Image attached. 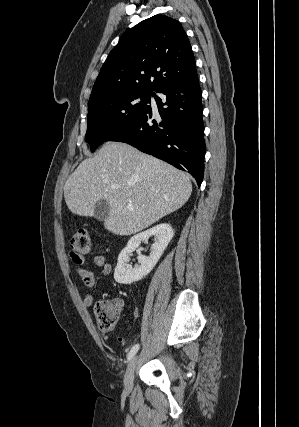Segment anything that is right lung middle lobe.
Returning a JSON list of instances; mask_svg holds the SVG:
<instances>
[{"mask_svg": "<svg viewBox=\"0 0 299 427\" xmlns=\"http://www.w3.org/2000/svg\"><path fill=\"white\" fill-rule=\"evenodd\" d=\"M150 92H124L89 105L85 140L91 151L123 133L149 109Z\"/></svg>", "mask_w": 299, "mask_h": 427, "instance_id": "right-lung-middle-lobe-1", "label": "right lung middle lobe"}]
</instances>
